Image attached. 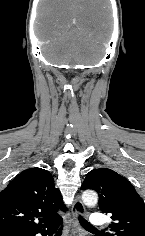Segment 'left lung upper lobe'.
Returning <instances> with one entry per match:
<instances>
[{"instance_id":"obj_1","label":"left lung upper lobe","mask_w":145,"mask_h":236,"mask_svg":"<svg viewBox=\"0 0 145 236\" xmlns=\"http://www.w3.org/2000/svg\"><path fill=\"white\" fill-rule=\"evenodd\" d=\"M82 189L99 193V208L111 214V233L101 236H145V205L132 184L107 168L90 171Z\"/></svg>"}]
</instances>
